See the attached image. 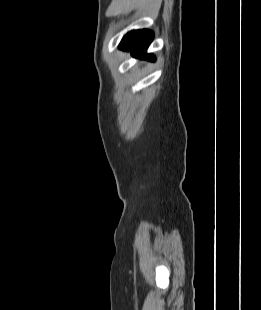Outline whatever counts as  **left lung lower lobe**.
I'll return each mask as SVG.
<instances>
[{"label":"left lung lower lobe","instance_id":"0a47b994","mask_svg":"<svg viewBox=\"0 0 261 310\" xmlns=\"http://www.w3.org/2000/svg\"><path fill=\"white\" fill-rule=\"evenodd\" d=\"M153 32L149 30H135L127 33L120 43V48L129 50L132 55L141 58L155 60L152 54L147 55L145 52L152 42Z\"/></svg>","mask_w":261,"mask_h":310}]
</instances>
